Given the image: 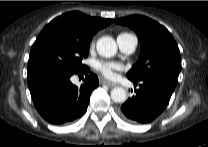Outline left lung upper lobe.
Listing matches in <instances>:
<instances>
[{"label": "left lung upper lobe", "instance_id": "left-lung-upper-lobe-1", "mask_svg": "<svg viewBox=\"0 0 208 147\" xmlns=\"http://www.w3.org/2000/svg\"><path fill=\"white\" fill-rule=\"evenodd\" d=\"M133 29L140 39V55L137 63L127 73L131 81L161 77L177 84L181 70L179 48L171 33L152 19L132 15L115 21Z\"/></svg>", "mask_w": 208, "mask_h": 147}]
</instances>
